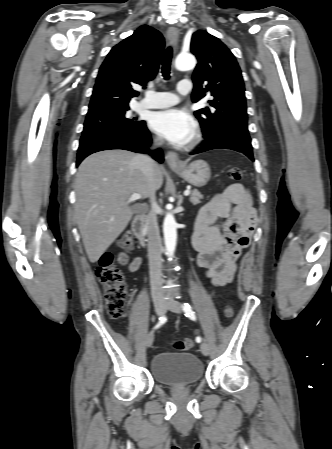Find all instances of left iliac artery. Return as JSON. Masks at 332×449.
<instances>
[{
    "mask_svg": "<svg viewBox=\"0 0 332 449\" xmlns=\"http://www.w3.org/2000/svg\"><path fill=\"white\" fill-rule=\"evenodd\" d=\"M183 311L187 317H189L191 320H196L195 312L192 310L191 306L188 303H184L182 305ZM202 341V338L200 336L196 337V342L200 343Z\"/></svg>",
    "mask_w": 332,
    "mask_h": 449,
    "instance_id": "44dca946",
    "label": "left iliac artery"
}]
</instances>
